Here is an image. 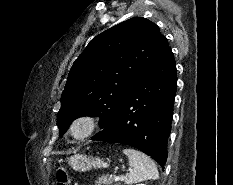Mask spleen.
<instances>
[{
  "instance_id": "spleen-1",
  "label": "spleen",
  "mask_w": 233,
  "mask_h": 185,
  "mask_svg": "<svg viewBox=\"0 0 233 185\" xmlns=\"http://www.w3.org/2000/svg\"><path fill=\"white\" fill-rule=\"evenodd\" d=\"M123 153L128 157L131 167L130 172L124 177L126 184L159 178L157 167L149 156L131 148H125Z\"/></svg>"
}]
</instances>
